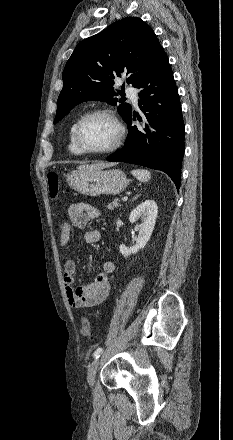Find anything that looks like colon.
Wrapping results in <instances>:
<instances>
[{"instance_id":"5ec220e1","label":"colon","mask_w":233,"mask_h":440,"mask_svg":"<svg viewBox=\"0 0 233 440\" xmlns=\"http://www.w3.org/2000/svg\"><path fill=\"white\" fill-rule=\"evenodd\" d=\"M48 191L51 198L55 199L59 194V176L56 172H49L47 175ZM91 323L89 319L83 318L81 322V333L84 336H90Z\"/></svg>"}]
</instances>
